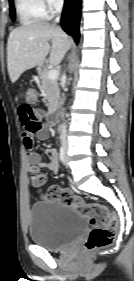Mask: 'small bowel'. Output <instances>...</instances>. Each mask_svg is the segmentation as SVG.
I'll list each match as a JSON object with an SVG mask.
<instances>
[{
  "label": "small bowel",
  "instance_id": "c3829d8e",
  "mask_svg": "<svg viewBox=\"0 0 134 281\" xmlns=\"http://www.w3.org/2000/svg\"><path fill=\"white\" fill-rule=\"evenodd\" d=\"M18 115L24 127L23 140L29 170L46 168L51 172H57L59 168L57 151L53 148L46 149L45 152L49 156V161L43 162L39 153L33 148L34 135L39 140H46L50 135L49 127L42 121L44 115L43 111L23 102L18 107Z\"/></svg>",
  "mask_w": 134,
  "mask_h": 281
}]
</instances>
